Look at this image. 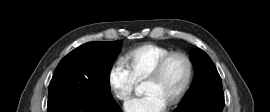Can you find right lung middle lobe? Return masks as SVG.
<instances>
[{
	"label": "right lung middle lobe",
	"mask_w": 270,
	"mask_h": 112,
	"mask_svg": "<svg viewBox=\"0 0 270 112\" xmlns=\"http://www.w3.org/2000/svg\"><path fill=\"white\" fill-rule=\"evenodd\" d=\"M121 43L89 42L69 54L58 64L49 85L48 103L73 93H83L93 100L111 104L109 75Z\"/></svg>",
	"instance_id": "dd1d6c3e"
}]
</instances>
